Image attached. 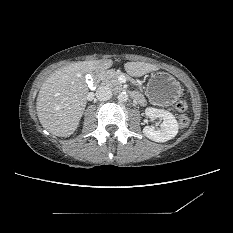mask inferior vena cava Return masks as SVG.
Returning <instances> with one entry per match:
<instances>
[{
    "label": "inferior vena cava",
    "instance_id": "obj_1",
    "mask_svg": "<svg viewBox=\"0 0 233 233\" xmlns=\"http://www.w3.org/2000/svg\"><path fill=\"white\" fill-rule=\"evenodd\" d=\"M95 94L97 99L101 101L109 100L112 97V91L108 86H100Z\"/></svg>",
    "mask_w": 233,
    "mask_h": 233
}]
</instances>
